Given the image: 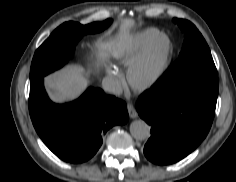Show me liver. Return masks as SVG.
I'll use <instances>...</instances> for the list:
<instances>
[{
	"label": "liver",
	"instance_id": "6515ba94",
	"mask_svg": "<svg viewBox=\"0 0 236 182\" xmlns=\"http://www.w3.org/2000/svg\"><path fill=\"white\" fill-rule=\"evenodd\" d=\"M126 24L131 25L133 22L128 21ZM96 46L98 48L99 58L104 60L114 51L115 42L99 41ZM45 81L50 97L56 102H64L77 98L89 84V79L81 68L62 70L47 76Z\"/></svg>",
	"mask_w": 236,
	"mask_h": 182
}]
</instances>
